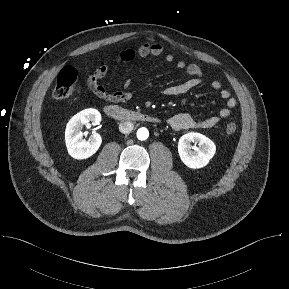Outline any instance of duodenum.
I'll return each mask as SVG.
<instances>
[{"label": "duodenum", "mask_w": 289, "mask_h": 289, "mask_svg": "<svg viewBox=\"0 0 289 289\" xmlns=\"http://www.w3.org/2000/svg\"><path fill=\"white\" fill-rule=\"evenodd\" d=\"M104 112L108 117L116 120L159 123V119L156 117L141 112L122 109L115 105L105 107Z\"/></svg>", "instance_id": "1"}]
</instances>
